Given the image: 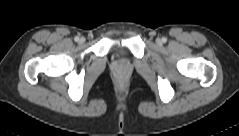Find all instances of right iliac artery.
<instances>
[{"label": "right iliac artery", "mask_w": 239, "mask_h": 136, "mask_svg": "<svg viewBox=\"0 0 239 136\" xmlns=\"http://www.w3.org/2000/svg\"><path fill=\"white\" fill-rule=\"evenodd\" d=\"M74 39H75L76 42L79 41V37L78 36H76Z\"/></svg>", "instance_id": "1"}]
</instances>
